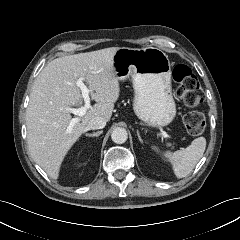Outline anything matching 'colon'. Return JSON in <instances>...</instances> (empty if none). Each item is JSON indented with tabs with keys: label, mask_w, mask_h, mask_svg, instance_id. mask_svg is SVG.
Returning a JSON list of instances; mask_svg holds the SVG:
<instances>
[{
	"label": "colon",
	"mask_w": 240,
	"mask_h": 240,
	"mask_svg": "<svg viewBox=\"0 0 240 240\" xmlns=\"http://www.w3.org/2000/svg\"><path fill=\"white\" fill-rule=\"evenodd\" d=\"M172 77L178 85L176 94L189 107L200 105L204 101V94L200 83L193 71L186 65H177L173 68ZM184 125L190 135H200L206 127V120L202 113L188 112L184 116Z\"/></svg>",
	"instance_id": "1"
}]
</instances>
